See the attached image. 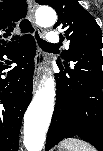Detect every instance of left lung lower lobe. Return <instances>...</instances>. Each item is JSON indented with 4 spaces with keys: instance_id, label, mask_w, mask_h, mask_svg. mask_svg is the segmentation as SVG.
<instances>
[{
    "instance_id": "left-lung-lower-lobe-1",
    "label": "left lung lower lobe",
    "mask_w": 103,
    "mask_h": 151,
    "mask_svg": "<svg viewBox=\"0 0 103 151\" xmlns=\"http://www.w3.org/2000/svg\"><path fill=\"white\" fill-rule=\"evenodd\" d=\"M60 73L46 151L64 138L79 137L103 151V58L101 49L77 50L57 62Z\"/></svg>"
}]
</instances>
